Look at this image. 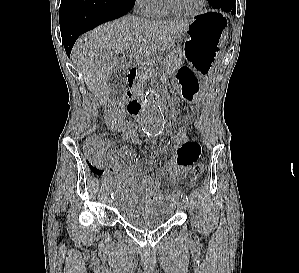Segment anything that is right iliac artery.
<instances>
[{
    "mask_svg": "<svg viewBox=\"0 0 299 273\" xmlns=\"http://www.w3.org/2000/svg\"><path fill=\"white\" fill-rule=\"evenodd\" d=\"M112 198H114V193L111 194Z\"/></svg>",
    "mask_w": 299,
    "mask_h": 273,
    "instance_id": "right-iliac-artery-1",
    "label": "right iliac artery"
}]
</instances>
